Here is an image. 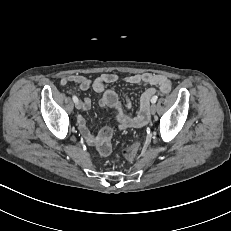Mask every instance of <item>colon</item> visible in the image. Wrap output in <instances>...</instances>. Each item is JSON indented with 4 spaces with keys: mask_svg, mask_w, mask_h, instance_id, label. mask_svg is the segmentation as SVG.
I'll return each mask as SVG.
<instances>
[{
    "mask_svg": "<svg viewBox=\"0 0 231 231\" xmlns=\"http://www.w3.org/2000/svg\"><path fill=\"white\" fill-rule=\"evenodd\" d=\"M100 142L97 145V149L100 154L108 155L111 151V137L112 130L108 127L103 128L100 133ZM139 149V143L133 144L131 147L122 151V155L126 160H132L136 156Z\"/></svg>",
    "mask_w": 231,
    "mask_h": 231,
    "instance_id": "5ec220e1",
    "label": "colon"
}]
</instances>
